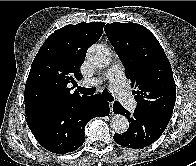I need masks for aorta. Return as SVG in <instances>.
Here are the masks:
<instances>
[{
    "label": "aorta",
    "mask_w": 196,
    "mask_h": 166,
    "mask_svg": "<svg viewBox=\"0 0 196 166\" xmlns=\"http://www.w3.org/2000/svg\"><path fill=\"white\" fill-rule=\"evenodd\" d=\"M87 59L97 67H106L112 60V53L108 47L94 44L87 51ZM110 127L116 133H124L129 127V122L125 116L117 114L110 120Z\"/></svg>",
    "instance_id": "1"
}]
</instances>
